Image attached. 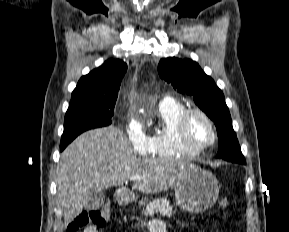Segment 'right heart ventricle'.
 Returning a JSON list of instances; mask_svg holds the SVG:
<instances>
[{
	"instance_id": "e07e8e85",
	"label": "right heart ventricle",
	"mask_w": 289,
	"mask_h": 232,
	"mask_svg": "<svg viewBox=\"0 0 289 232\" xmlns=\"http://www.w3.org/2000/svg\"><path fill=\"white\" fill-rule=\"evenodd\" d=\"M186 107L174 99L160 103L157 109L162 127L150 139V153L161 158L194 156L197 152L185 147L177 135V122Z\"/></svg>"
}]
</instances>
